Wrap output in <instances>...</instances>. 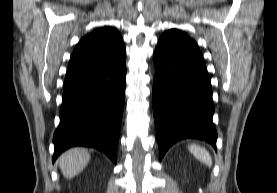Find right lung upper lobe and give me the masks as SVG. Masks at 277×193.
Wrapping results in <instances>:
<instances>
[{
  "instance_id": "cb5924a9",
  "label": "right lung upper lobe",
  "mask_w": 277,
  "mask_h": 193,
  "mask_svg": "<svg viewBox=\"0 0 277 193\" xmlns=\"http://www.w3.org/2000/svg\"><path fill=\"white\" fill-rule=\"evenodd\" d=\"M125 50L123 39L115 28L102 27L83 37L75 47L67 68L80 71L101 65Z\"/></svg>"
}]
</instances>
